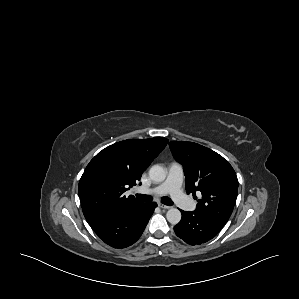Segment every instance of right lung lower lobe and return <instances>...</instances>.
I'll list each match as a JSON object with an SVG mask.
<instances>
[{
  "label": "right lung lower lobe",
  "mask_w": 299,
  "mask_h": 299,
  "mask_svg": "<svg viewBox=\"0 0 299 299\" xmlns=\"http://www.w3.org/2000/svg\"><path fill=\"white\" fill-rule=\"evenodd\" d=\"M156 206V203L140 202L89 224L106 244L114 248H125L140 238Z\"/></svg>",
  "instance_id": "98d812e1"
}]
</instances>
